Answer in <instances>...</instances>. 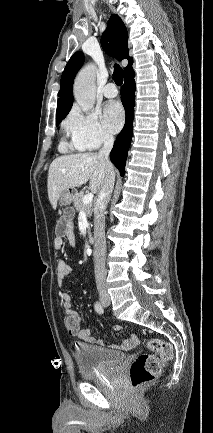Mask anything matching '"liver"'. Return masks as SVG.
Instances as JSON below:
<instances>
[{"mask_svg": "<svg viewBox=\"0 0 213 433\" xmlns=\"http://www.w3.org/2000/svg\"><path fill=\"white\" fill-rule=\"evenodd\" d=\"M107 169L104 159L93 152L56 158L49 167L47 178L48 198L52 207L56 208L59 195L64 190L78 187L88 180L90 190L98 192Z\"/></svg>", "mask_w": 213, "mask_h": 433, "instance_id": "obj_1", "label": "liver"}]
</instances>
